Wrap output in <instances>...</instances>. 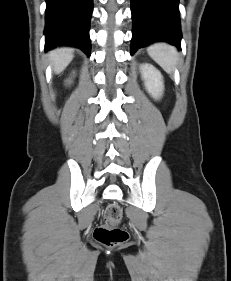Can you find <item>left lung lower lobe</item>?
<instances>
[{"label":"left lung lower lobe","instance_id":"obj_1","mask_svg":"<svg viewBox=\"0 0 231 281\" xmlns=\"http://www.w3.org/2000/svg\"><path fill=\"white\" fill-rule=\"evenodd\" d=\"M179 0H131V55L153 42L166 41L181 49Z\"/></svg>","mask_w":231,"mask_h":281}]
</instances>
